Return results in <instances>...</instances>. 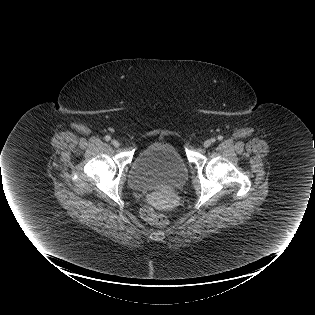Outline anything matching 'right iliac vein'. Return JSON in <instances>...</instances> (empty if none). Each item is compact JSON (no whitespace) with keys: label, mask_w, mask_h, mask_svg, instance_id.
I'll return each instance as SVG.
<instances>
[{"label":"right iliac vein","mask_w":315,"mask_h":315,"mask_svg":"<svg viewBox=\"0 0 315 315\" xmlns=\"http://www.w3.org/2000/svg\"><path fill=\"white\" fill-rule=\"evenodd\" d=\"M111 144L115 147H119L120 146V143L117 141V140H112L111 141Z\"/></svg>","instance_id":"63e3f726"}]
</instances>
